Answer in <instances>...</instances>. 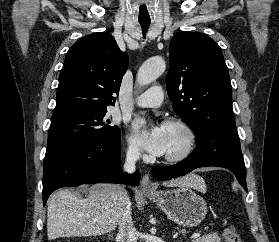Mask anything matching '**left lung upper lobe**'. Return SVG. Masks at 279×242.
Wrapping results in <instances>:
<instances>
[{"label":"left lung upper lobe","mask_w":279,"mask_h":242,"mask_svg":"<svg viewBox=\"0 0 279 242\" xmlns=\"http://www.w3.org/2000/svg\"><path fill=\"white\" fill-rule=\"evenodd\" d=\"M167 92L173 109L197 137L191 158L244 164L232 109V86L219 45L210 37L179 32L170 42Z\"/></svg>","instance_id":"1"}]
</instances>
